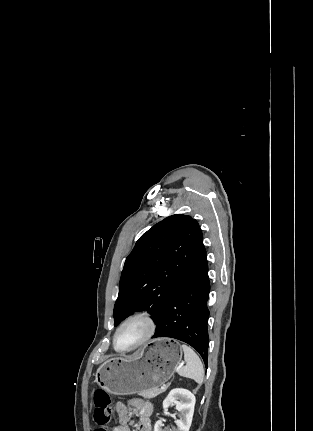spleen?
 I'll return each instance as SVG.
<instances>
[{"label":"spleen","mask_w":313,"mask_h":431,"mask_svg":"<svg viewBox=\"0 0 313 431\" xmlns=\"http://www.w3.org/2000/svg\"><path fill=\"white\" fill-rule=\"evenodd\" d=\"M181 349L184 352L186 365L178 369V374L182 377L190 378L199 385L204 380V368L198 355L187 345L183 344Z\"/></svg>","instance_id":"3e777b00"}]
</instances>
